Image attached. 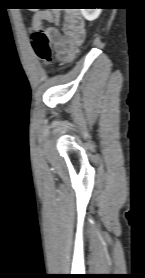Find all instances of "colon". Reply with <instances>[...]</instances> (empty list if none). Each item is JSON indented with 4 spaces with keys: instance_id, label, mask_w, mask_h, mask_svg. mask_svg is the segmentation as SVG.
Here are the masks:
<instances>
[{
    "instance_id": "5ec220e1",
    "label": "colon",
    "mask_w": 145,
    "mask_h": 278,
    "mask_svg": "<svg viewBox=\"0 0 145 278\" xmlns=\"http://www.w3.org/2000/svg\"><path fill=\"white\" fill-rule=\"evenodd\" d=\"M73 7L77 8L78 6L75 5ZM32 39L39 59L43 64H49L52 57V51L47 35L43 31H37L33 34Z\"/></svg>"
}]
</instances>
